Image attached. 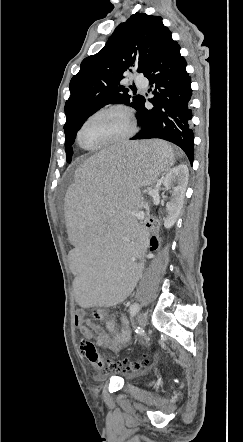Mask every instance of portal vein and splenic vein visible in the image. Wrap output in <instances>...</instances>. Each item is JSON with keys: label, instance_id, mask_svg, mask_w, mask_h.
<instances>
[{"label": "portal vein and splenic vein", "instance_id": "portal-vein-and-splenic-vein-1", "mask_svg": "<svg viewBox=\"0 0 243 442\" xmlns=\"http://www.w3.org/2000/svg\"><path fill=\"white\" fill-rule=\"evenodd\" d=\"M148 193H149L152 197H156V196H158V192H157V190H150V191H148Z\"/></svg>", "mask_w": 243, "mask_h": 442}]
</instances>
